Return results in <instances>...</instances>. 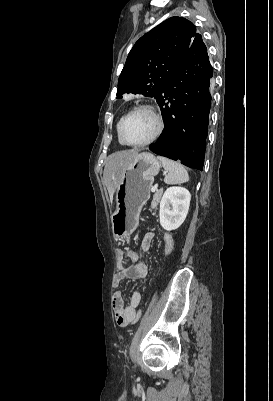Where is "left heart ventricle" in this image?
<instances>
[{"instance_id":"b2bd125f","label":"left heart ventricle","mask_w":273,"mask_h":401,"mask_svg":"<svg viewBox=\"0 0 273 401\" xmlns=\"http://www.w3.org/2000/svg\"><path fill=\"white\" fill-rule=\"evenodd\" d=\"M157 129L155 118L145 112L131 115L124 123L123 137L126 141L137 143L150 138Z\"/></svg>"}]
</instances>
